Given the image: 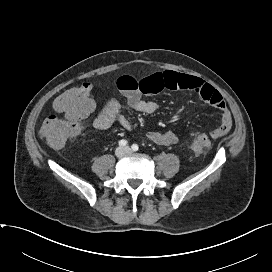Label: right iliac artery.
I'll list each match as a JSON object with an SVG mask.
<instances>
[{
  "instance_id": "1",
  "label": "right iliac artery",
  "mask_w": 272,
  "mask_h": 272,
  "mask_svg": "<svg viewBox=\"0 0 272 272\" xmlns=\"http://www.w3.org/2000/svg\"><path fill=\"white\" fill-rule=\"evenodd\" d=\"M128 144V142L124 139L119 141V146H126Z\"/></svg>"
}]
</instances>
